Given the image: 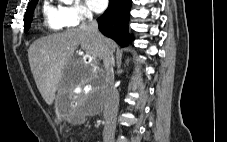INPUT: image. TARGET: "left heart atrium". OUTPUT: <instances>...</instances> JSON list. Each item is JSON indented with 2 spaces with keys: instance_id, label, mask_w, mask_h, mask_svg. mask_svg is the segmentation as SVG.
I'll use <instances>...</instances> for the list:
<instances>
[{
  "instance_id": "left-heart-atrium-1",
  "label": "left heart atrium",
  "mask_w": 227,
  "mask_h": 142,
  "mask_svg": "<svg viewBox=\"0 0 227 142\" xmlns=\"http://www.w3.org/2000/svg\"><path fill=\"white\" fill-rule=\"evenodd\" d=\"M86 3L97 13L104 11L108 6V0H86Z\"/></svg>"
}]
</instances>
